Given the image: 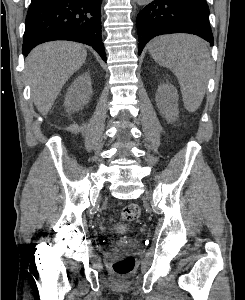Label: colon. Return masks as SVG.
I'll use <instances>...</instances> for the list:
<instances>
[{
  "label": "colon",
  "mask_w": 245,
  "mask_h": 300,
  "mask_svg": "<svg viewBox=\"0 0 245 300\" xmlns=\"http://www.w3.org/2000/svg\"><path fill=\"white\" fill-rule=\"evenodd\" d=\"M141 213L139 205L135 203L127 204L122 212V219L128 222H132L139 218ZM135 261L131 255H125L118 257L112 264L114 272L121 278L128 277L134 269Z\"/></svg>",
  "instance_id": "colon-1"
}]
</instances>
